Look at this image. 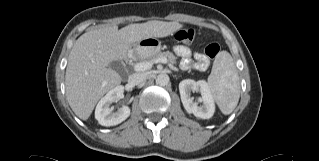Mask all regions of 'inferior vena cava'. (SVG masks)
Masks as SVG:
<instances>
[{
	"instance_id": "1",
	"label": "inferior vena cava",
	"mask_w": 319,
	"mask_h": 161,
	"mask_svg": "<svg viewBox=\"0 0 319 161\" xmlns=\"http://www.w3.org/2000/svg\"><path fill=\"white\" fill-rule=\"evenodd\" d=\"M147 78L146 73H134L128 77V83L131 85H139L143 83Z\"/></svg>"
}]
</instances>
